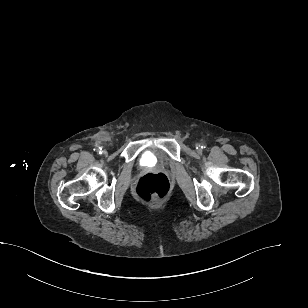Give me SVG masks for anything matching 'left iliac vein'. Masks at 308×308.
<instances>
[{
  "instance_id": "obj_1",
  "label": "left iliac vein",
  "mask_w": 308,
  "mask_h": 308,
  "mask_svg": "<svg viewBox=\"0 0 308 308\" xmlns=\"http://www.w3.org/2000/svg\"><path fill=\"white\" fill-rule=\"evenodd\" d=\"M196 149H197L198 152H201L200 145L197 144V145H196Z\"/></svg>"
}]
</instances>
